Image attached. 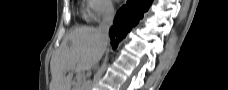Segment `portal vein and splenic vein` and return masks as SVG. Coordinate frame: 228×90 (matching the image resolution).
I'll list each match as a JSON object with an SVG mask.
<instances>
[{
	"instance_id": "1",
	"label": "portal vein and splenic vein",
	"mask_w": 228,
	"mask_h": 90,
	"mask_svg": "<svg viewBox=\"0 0 228 90\" xmlns=\"http://www.w3.org/2000/svg\"><path fill=\"white\" fill-rule=\"evenodd\" d=\"M77 71H78V72L81 71L79 67H77ZM78 79H81L80 75H78Z\"/></svg>"
}]
</instances>
